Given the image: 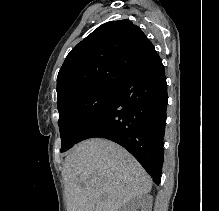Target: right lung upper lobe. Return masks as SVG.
Instances as JSON below:
<instances>
[{
  "label": "right lung upper lobe",
  "instance_id": "1",
  "mask_svg": "<svg viewBox=\"0 0 219 211\" xmlns=\"http://www.w3.org/2000/svg\"><path fill=\"white\" fill-rule=\"evenodd\" d=\"M158 57L153 44L131 21L102 24L67 55L57 77V103L94 86H117Z\"/></svg>",
  "mask_w": 219,
  "mask_h": 211
}]
</instances>
